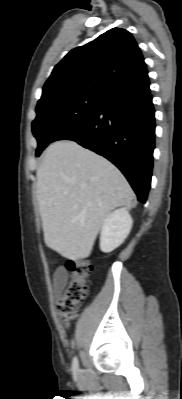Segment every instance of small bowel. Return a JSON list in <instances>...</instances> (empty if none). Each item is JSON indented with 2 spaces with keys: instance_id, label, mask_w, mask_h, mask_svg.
<instances>
[{
  "instance_id": "obj_1",
  "label": "small bowel",
  "mask_w": 182,
  "mask_h": 399,
  "mask_svg": "<svg viewBox=\"0 0 182 399\" xmlns=\"http://www.w3.org/2000/svg\"><path fill=\"white\" fill-rule=\"evenodd\" d=\"M69 279V274L64 267L57 268L52 275L53 290L56 296H59L65 288Z\"/></svg>"
}]
</instances>
